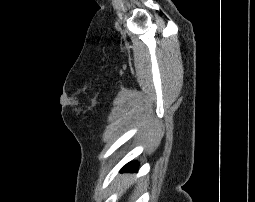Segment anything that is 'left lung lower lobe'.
I'll list each match as a JSON object with an SVG mask.
<instances>
[{
    "label": "left lung lower lobe",
    "mask_w": 255,
    "mask_h": 202,
    "mask_svg": "<svg viewBox=\"0 0 255 202\" xmlns=\"http://www.w3.org/2000/svg\"><path fill=\"white\" fill-rule=\"evenodd\" d=\"M138 168V165L134 162H130L126 164L123 168L122 171H136Z\"/></svg>",
    "instance_id": "left-lung-lower-lobe-1"
}]
</instances>
